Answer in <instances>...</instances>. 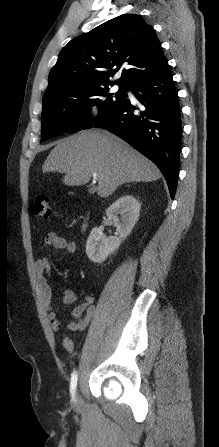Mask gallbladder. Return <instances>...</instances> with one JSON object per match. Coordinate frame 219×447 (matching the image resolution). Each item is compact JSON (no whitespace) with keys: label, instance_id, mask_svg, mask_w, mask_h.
<instances>
[{"label":"gallbladder","instance_id":"gallbladder-1","mask_svg":"<svg viewBox=\"0 0 219 447\" xmlns=\"http://www.w3.org/2000/svg\"><path fill=\"white\" fill-rule=\"evenodd\" d=\"M89 191H90V192H94V189L92 188V189H90Z\"/></svg>","mask_w":219,"mask_h":447}]
</instances>
